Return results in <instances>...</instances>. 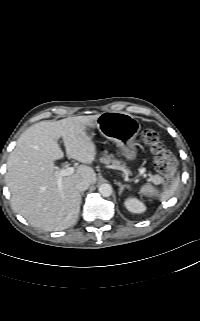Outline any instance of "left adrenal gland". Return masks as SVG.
I'll return each instance as SVG.
<instances>
[{"mask_svg":"<svg viewBox=\"0 0 200 321\" xmlns=\"http://www.w3.org/2000/svg\"><path fill=\"white\" fill-rule=\"evenodd\" d=\"M116 184L119 186V195L122 194L124 188H129L128 185H126V184H121L120 182H116Z\"/></svg>","mask_w":200,"mask_h":321,"instance_id":"obj_1","label":"left adrenal gland"}]
</instances>
